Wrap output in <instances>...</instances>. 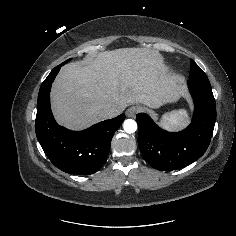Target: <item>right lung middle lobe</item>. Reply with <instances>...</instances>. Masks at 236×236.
I'll use <instances>...</instances> for the list:
<instances>
[{"label": "right lung middle lobe", "mask_w": 236, "mask_h": 236, "mask_svg": "<svg viewBox=\"0 0 236 236\" xmlns=\"http://www.w3.org/2000/svg\"><path fill=\"white\" fill-rule=\"evenodd\" d=\"M70 59L66 60L65 62H63V64L67 63Z\"/></svg>", "instance_id": "dd1d6c3e"}]
</instances>
